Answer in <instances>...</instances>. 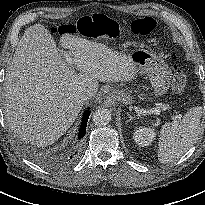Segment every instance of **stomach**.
<instances>
[{
  "label": "stomach",
  "instance_id": "stomach-1",
  "mask_svg": "<svg viewBox=\"0 0 205 205\" xmlns=\"http://www.w3.org/2000/svg\"><path fill=\"white\" fill-rule=\"evenodd\" d=\"M129 62L137 74H147L156 95H163L169 89L171 71L168 65L154 53L137 49L128 55ZM112 97L124 104H131L133 98L124 90H113Z\"/></svg>",
  "mask_w": 205,
  "mask_h": 205
}]
</instances>
